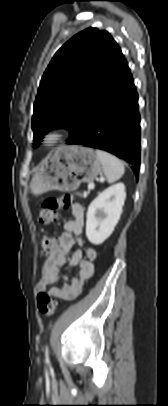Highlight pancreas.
Returning <instances> with one entry per match:
<instances>
[{
  "label": "pancreas",
  "mask_w": 168,
  "mask_h": 406,
  "mask_svg": "<svg viewBox=\"0 0 168 406\" xmlns=\"http://www.w3.org/2000/svg\"><path fill=\"white\" fill-rule=\"evenodd\" d=\"M77 195L81 196V194L77 193Z\"/></svg>",
  "instance_id": "1"
}]
</instances>
